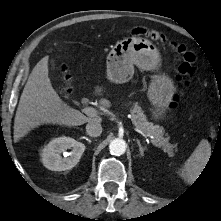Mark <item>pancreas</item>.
<instances>
[{
	"instance_id": "obj_1",
	"label": "pancreas",
	"mask_w": 221,
	"mask_h": 221,
	"mask_svg": "<svg viewBox=\"0 0 221 221\" xmlns=\"http://www.w3.org/2000/svg\"><path fill=\"white\" fill-rule=\"evenodd\" d=\"M132 114V121L138 129L147 135H152L158 144V147L162 148L170 157L174 156L177 151L176 145L169 143L170 137L165 134L164 129L159 125H153V123L148 122L146 115L144 114L142 108L135 103L130 110ZM164 135L166 137H164Z\"/></svg>"
}]
</instances>
